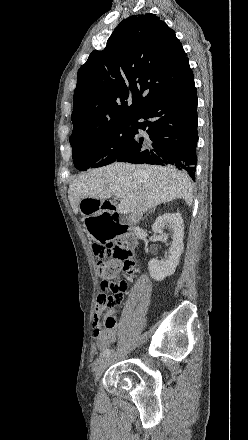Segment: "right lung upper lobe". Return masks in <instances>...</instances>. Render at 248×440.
<instances>
[{"label":"right lung upper lobe","instance_id":"1","mask_svg":"<svg viewBox=\"0 0 248 440\" xmlns=\"http://www.w3.org/2000/svg\"><path fill=\"white\" fill-rule=\"evenodd\" d=\"M193 80L175 32L155 14L130 16L113 31L106 48L94 50L78 70L71 136L107 130Z\"/></svg>","mask_w":248,"mask_h":440}]
</instances>
